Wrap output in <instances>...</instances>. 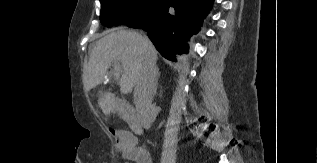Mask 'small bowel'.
I'll list each match as a JSON object with an SVG mask.
<instances>
[{
	"label": "small bowel",
	"mask_w": 317,
	"mask_h": 163,
	"mask_svg": "<svg viewBox=\"0 0 317 163\" xmlns=\"http://www.w3.org/2000/svg\"><path fill=\"white\" fill-rule=\"evenodd\" d=\"M119 140L123 144V155L126 159L135 163H153V160L147 151L144 152L141 156L137 155L133 148V143L130 136L121 134L119 136Z\"/></svg>",
	"instance_id": "obj_1"
}]
</instances>
